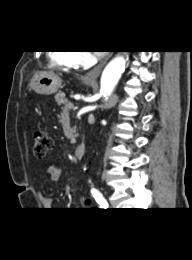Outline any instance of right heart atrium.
<instances>
[{
  "label": "right heart atrium",
  "mask_w": 192,
  "mask_h": 260,
  "mask_svg": "<svg viewBox=\"0 0 192 260\" xmlns=\"http://www.w3.org/2000/svg\"><path fill=\"white\" fill-rule=\"evenodd\" d=\"M73 60L76 65L82 66L90 61V54L85 51H77L73 53Z\"/></svg>",
  "instance_id": "1"
}]
</instances>
